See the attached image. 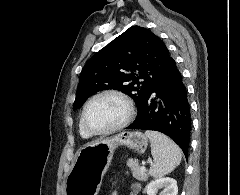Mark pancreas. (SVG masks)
<instances>
[{
  "label": "pancreas",
  "mask_w": 240,
  "mask_h": 195,
  "mask_svg": "<svg viewBox=\"0 0 240 195\" xmlns=\"http://www.w3.org/2000/svg\"><path fill=\"white\" fill-rule=\"evenodd\" d=\"M126 165L130 167L133 177H136V179H139V181H147L149 175L148 171H141L138 163V159H133V157H130L128 159Z\"/></svg>",
  "instance_id": "pancreas-1"
}]
</instances>
